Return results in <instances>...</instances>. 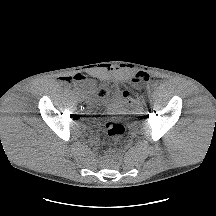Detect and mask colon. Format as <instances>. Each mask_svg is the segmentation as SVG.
Returning a JSON list of instances; mask_svg holds the SVG:
<instances>
[{
	"label": "colon",
	"mask_w": 216,
	"mask_h": 216,
	"mask_svg": "<svg viewBox=\"0 0 216 216\" xmlns=\"http://www.w3.org/2000/svg\"><path fill=\"white\" fill-rule=\"evenodd\" d=\"M143 75H144V80L147 79V75L145 74ZM107 92H109L107 85L105 83H100L97 87L96 94L104 96V94H106ZM105 130L108 137L114 143H118L122 139L125 133L124 126L118 121H114V120L105 123Z\"/></svg>",
	"instance_id": "obj_1"
}]
</instances>
